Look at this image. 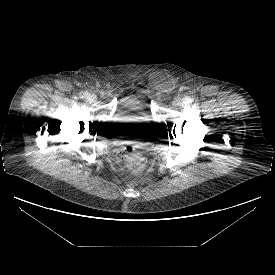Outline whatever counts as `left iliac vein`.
Here are the masks:
<instances>
[{
  "label": "left iliac vein",
  "mask_w": 275,
  "mask_h": 275,
  "mask_svg": "<svg viewBox=\"0 0 275 275\" xmlns=\"http://www.w3.org/2000/svg\"><path fill=\"white\" fill-rule=\"evenodd\" d=\"M175 106H181L184 104V99L180 96L176 97L173 101Z\"/></svg>",
  "instance_id": "4c4485c4"
}]
</instances>
